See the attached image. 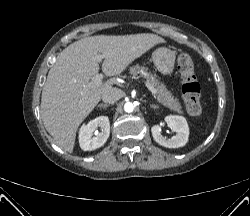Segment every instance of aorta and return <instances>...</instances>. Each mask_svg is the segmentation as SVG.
<instances>
[{
    "mask_svg": "<svg viewBox=\"0 0 250 216\" xmlns=\"http://www.w3.org/2000/svg\"><path fill=\"white\" fill-rule=\"evenodd\" d=\"M124 110L127 112V113H130L134 110V104L132 102H127L125 103L124 105Z\"/></svg>",
    "mask_w": 250,
    "mask_h": 216,
    "instance_id": "762f6f07",
    "label": "aorta"
}]
</instances>
